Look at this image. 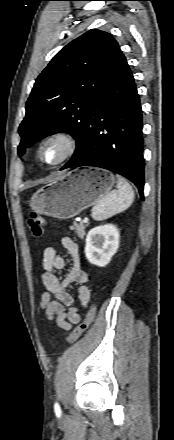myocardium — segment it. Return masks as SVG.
I'll return each mask as SVG.
<instances>
[{
  "instance_id": "myocardium-1",
  "label": "myocardium",
  "mask_w": 174,
  "mask_h": 440,
  "mask_svg": "<svg viewBox=\"0 0 174 440\" xmlns=\"http://www.w3.org/2000/svg\"><path fill=\"white\" fill-rule=\"evenodd\" d=\"M51 142L62 143L63 152L57 161L49 163L45 161L43 157V151L45 147ZM78 146H79L78 139L72 132L67 130H57L47 135L40 143L38 148V159L40 160L41 163L47 166L56 167L66 162L70 158H72L73 155L76 153Z\"/></svg>"
}]
</instances>
